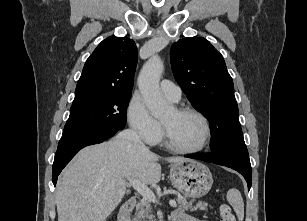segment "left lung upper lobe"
<instances>
[{
    "mask_svg": "<svg viewBox=\"0 0 307 221\" xmlns=\"http://www.w3.org/2000/svg\"><path fill=\"white\" fill-rule=\"evenodd\" d=\"M175 80L212 127L211 151L249 158L234 85L223 56L202 37L175 42L170 50Z\"/></svg>",
    "mask_w": 307,
    "mask_h": 221,
    "instance_id": "1",
    "label": "left lung upper lobe"
}]
</instances>
